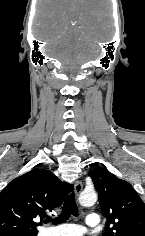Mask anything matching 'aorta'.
<instances>
[{
  "label": "aorta",
  "mask_w": 145,
  "mask_h": 236,
  "mask_svg": "<svg viewBox=\"0 0 145 236\" xmlns=\"http://www.w3.org/2000/svg\"><path fill=\"white\" fill-rule=\"evenodd\" d=\"M97 201V193L94 190H84L79 196V202L83 206H92Z\"/></svg>",
  "instance_id": "aorta-1"
}]
</instances>
